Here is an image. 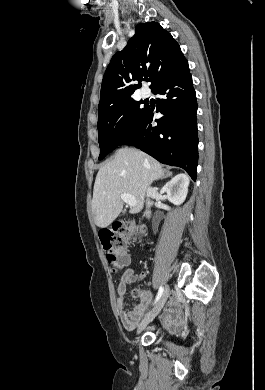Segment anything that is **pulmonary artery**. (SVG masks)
<instances>
[{
  "mask_svg": "<svg viewBox=\"0 0 265 390\" xmlns=\"http://www.w3.org/2000/svg\"><path fill=\"white\" fill-rule=\"evenodd\" d=\"M149 90L148 89H146V88H143L142 90H141V95L144 97V98H146V97H148L149 96Z\"/></svg>",
  "mask_w": 265,
  "mask_h": 390,
  "instance_id": "pulmonary-artery-1",
  "label": "pulmonary artery"
}]
</instances>
